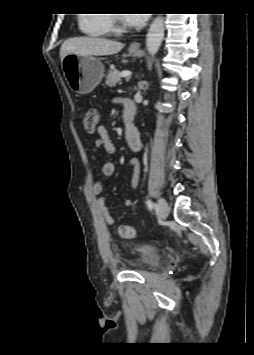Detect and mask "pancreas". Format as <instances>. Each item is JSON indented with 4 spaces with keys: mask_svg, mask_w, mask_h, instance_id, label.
Listing matches in <instances>:
<instances>
[{
    "mask_svg": "<svg viewBox=\"0 0 254 355\" xmlns=\"http://www.w3.org/2000/svg\"><path fill=\"white\" fill-rule=\"evenodd\" d=\"M117 83L121 84L120 72L116 69H110L106 77V85L113 87Z\"/></svg>",
    "mask_w": 254,
    "mask_h": 355,
    "instance_id": "obj_1",
    "label": "pancreas"
}]
</instances>
